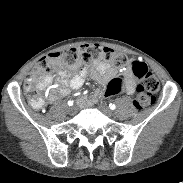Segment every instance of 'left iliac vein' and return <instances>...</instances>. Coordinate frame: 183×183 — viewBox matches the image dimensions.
I'll list each match as a JSON object with an SVG mask.
<instances>
[{"label": "left iliac vein", "instance_id": "4c4485c4", "mask_svg": "<svg viewBox=\"0 0 183 183\" xmlns=\"http://www.w3.org/2000/svg\"><path fill=\"white\" fill-rule=\"evenodd\" d=\"M100 110L108 117L113 116V111L106 105H100Z\"/></svg>", "mask_w": 183, "mask_h": 183}]
</instances>
